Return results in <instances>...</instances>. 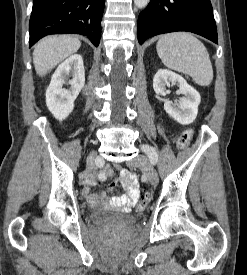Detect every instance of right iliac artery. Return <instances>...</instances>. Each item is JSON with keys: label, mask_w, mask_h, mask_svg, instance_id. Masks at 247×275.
<instances>
[{"label": "right iliac artery", "mask_w": 247, "mask_h": 275, "mask_svg": "<svg viewBox=\"0 0 247 275\" xmlns=\"http://www.w3.org/2000/svg\"><path fill=\"white\" fill-rule=\"evenodd\" d=\"M95 164H97V169H99L100 172H98L97 180H106V175L104 171V159L103 157H96L95 158Z\"/></svg>", "instance_id": "right-iliac-artery-1"}]
</instances>
